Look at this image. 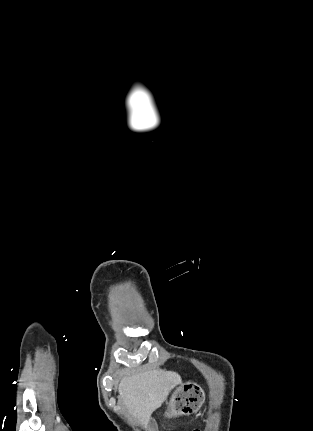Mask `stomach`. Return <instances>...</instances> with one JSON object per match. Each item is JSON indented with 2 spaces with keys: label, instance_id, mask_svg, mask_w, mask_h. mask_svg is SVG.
<instances>
[{
  "label": "stomach",
  "instance_id": "0dacf381",
  "mask_svg": "<svg viewBox=\"0 0 313 431\" xmlns=\"http://www.w3.org/2000/svg\"><path fill=\"white\" fill-rule=\"evenodd\" d=\"M204 400L205 393L201 386L191 381L182 383L170 398L167 415H191L202 406Z\"/></svg>",
  "mask_w": 313,
  "mask_h": 431
}]
</instances>
